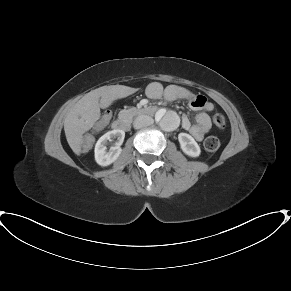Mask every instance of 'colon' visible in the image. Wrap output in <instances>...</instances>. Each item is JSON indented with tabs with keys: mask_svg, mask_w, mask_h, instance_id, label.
<instances>
[{
	"mask_svg": "<svg viewBox=\"0 0 291 291\" xmlns=\"http://www.w3.org/2000/svg\"><path fill=\"white\" fill-rule=\"evenodd\" d=\"M111 120V113L106 111L102 116V125H106ZM213 124L219 128H223L225 126V117L221 113H217L212 118ZM204 147L208 152H215L220 147V141L215 136H209L205 139ZM89 151L88 143L85 142L81 146V152L83 154H87Z\"/></svg>",
	"mask_w": 291,
	"mask_h": 291,
	"instance_id": "1",
	"label": "colon"
}]
</instances>
